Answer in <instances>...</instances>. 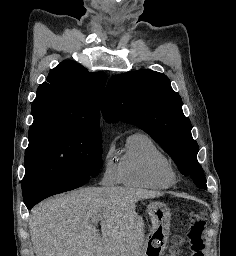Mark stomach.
<instances>
[{
	"label": "stomach",
	"instance_id": "obj_1",
	"mask_svg": "<svg viewBox=\"0 0 236 256\" xmlns=\"http://www.w3.org/2000/svg\"><path fill=\"white\" fill-rule=\"evenodd\" d=\"M148 214L152 228L142 251L137 256H161L170 232V210L161 202H152L148 205Z\"/></svg>",
	"mask_w": 236,
	"mask_h": 256
}]
</instances>
